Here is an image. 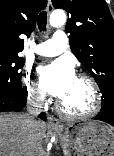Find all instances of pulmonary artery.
<instances>
[{"label": "pulmonary artery", "instance_id": "1", "mask_svg": "<svg viewBox=\"0 0 114 156\" xmlns=\"http://www.w3.org/2000/svg\"><path fill=\"white\" fill-rule=\"evenodd\" d=\"M67 44L66 34L63 31H56L51 39L38 44L34 48V52L40 56L53 57L63 53Z\"/></svg>", "mask_w": 114, "mask_h": 156}]
</instances>
